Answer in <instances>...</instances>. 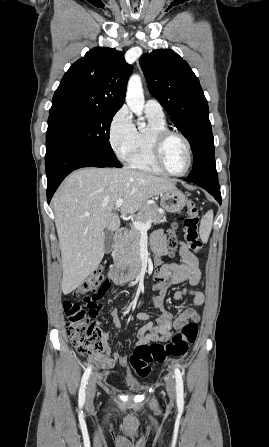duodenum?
I'll use <instances>...</instances> for the list:
<instances>
[{
    "label": "duodenum",
    "mask_w": 269,
    "mask_h": 447,
    "mask_svg": "<svg viewBox=\"0 0 269 447\" xmlns=\"http://www.w3.org/2000/svg\"><path fill=\"white\" fill-rule=\"evenodd\" d=\"M125 234L126 229H118L115 233L116 241L122 239ZM143 264L144 257L142 255L136 257L130 262L115 264L109 270V277L116 284L134 280L142 274Z\"/></svg>",
    "instance_id": "obj_1"
}]
</instances>
